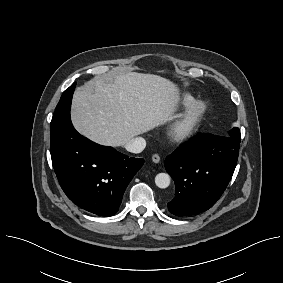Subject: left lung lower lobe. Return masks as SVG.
<instances>
[{"mask_svg":"<svg viewBox=\"0 0 283 283\" xmlns=\"http://www.w3.org/2000/svg\"><path fill=\"white\" fill-rule=\"evenodd\" d=\"M240 140L200 134L165 160L175 182V197L168 210L189 216L211 208L226 189L237 164Z\"/></svg>","mask_w":283,"mask_h":283,"instance_id":"left-lung-lower-lobe-1","label":"left lung lower lobe"}]
</instances>
